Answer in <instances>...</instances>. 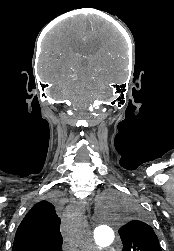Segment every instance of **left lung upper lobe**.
I'll use <instances>...</instances> for the list:
<instances>
[{
	"instance_id": "5c2ea615",
	"label": "left lung upper lobe",
	"mask_w": 174,
	"mask_h": 251,
	"mask_svg": "<svg viewBox=\"0 0 174 251\" xmlns=\"http://www.w3.org/2000/svg\"><path fill=\"white\" fill-rule=\"evenodd\" d=\"M122 251H162L152 228L138 214L119 229Z\"/></svg>"
}]
</instances>
